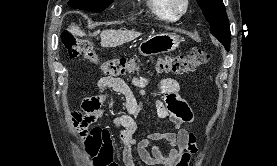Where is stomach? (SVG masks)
<instances>
[{
    "mask_svg": "<svg viewBox=\"0 0 277 166\" xmlns=\"http://www.w3.org/2000/svg\"><path fill=\"white\" fill-rule=\"evenodd\" d=\"M179 38L172 33L162 32L149 36L139 45V52L143 56H153L174 51L179 46Z\"/></svg>",
    "mask_w": 277,
    "mask_h": 166,
    "instance_id": "1",
    "label": "stomach"
}]
</instances>
